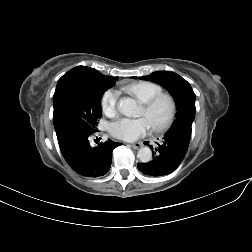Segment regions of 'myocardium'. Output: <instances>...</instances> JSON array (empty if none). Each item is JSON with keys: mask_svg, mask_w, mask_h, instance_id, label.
Here are the masks:
<instances>
[{"mask_svg": "<svg viewBox=\"0 0 252 252\" xmlns=\"http://www.w3.org/2000/svg\"><path fill=\"white\" fill-rule=\"evenodd\" d=\"M162 100H165L168 104V113L166 118L161 124L150 127L151 131L154 133H163L167 131L173 124L177 110L175 98L169 93L162 92L151 98L149 101L143 103V109L145 110L146 113H149Z\"/></svg>", "mask_w": 252, "mask_h": 252, "instance_id": "obj_1", "label": "myocardium"}]
</instances>
